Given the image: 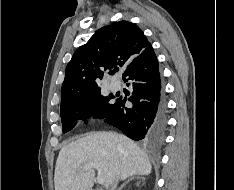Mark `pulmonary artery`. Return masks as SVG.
<instances>
[{
    "label": "pulmonary artery",
    "mask_w": 234,
    "mask_h": 190,
    "mask_svg": "<svg viewBox=\"0 0 234 190\" xmlns=\"http://www.w3.org/2000/svg\"><path fill=\"white\" fill-rule=\"evenodd\" d=\"M110 87H111V89H112L113 91H117L118 89H120V84H118V83H112V84L110 85Z\"/></svg>",
    "instance_id": "pulmonary-artery-1"
}]
</instances>
